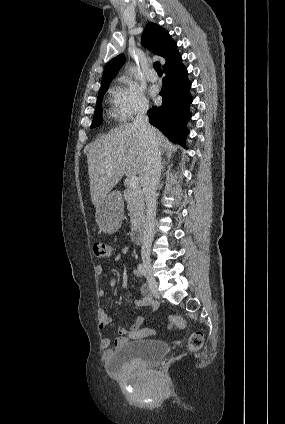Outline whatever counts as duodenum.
<instances>
[{
    "label": "duodenum",
    "mask_w": 285,
    "mask_h": 424,
    "mask_svg": "<svg viewBox=\"0 0 285 424\" xmlns=\"http://www.w3.org/2000/svg\"><path fill=\"white\" fill-rule=\"evenodd\" d=\"M145 228L143 226H137L132 232V241L135 244H141L144 241Z\"/></svg>",
    "instance_id": "1"
}]
</instances>
